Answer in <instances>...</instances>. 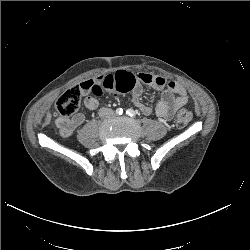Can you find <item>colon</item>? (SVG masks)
Returning <instances> with one entry per match:
<instances>
[{
  "label": "colon",
  "instance_id": "colon-1",
  "mask_svg": "<svg viewBox=\"0 0 250 250\" xmlns=\"http://www.w3.org/2000/svg\"><path fill=\"white\" fill-rule=\"evenodd\" d=\"M91 92L100 96L104 92L103 88L99 85H94L91 87ZM81 88L79 86H74L66 91H64L55 102V110L62 117H68L75 114L80 105L81 99ZM192 112L187 108H181L175 117V126L178 129L185 128L192 120Z\"/></svg>",
  "mask_w": 250,
  "mask_h": 250
}]
</instances>
